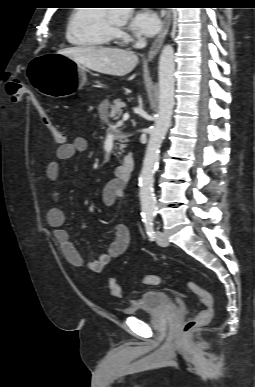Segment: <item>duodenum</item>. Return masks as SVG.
<instances>
[{
    "label": "duodenum",
    "mask_w": 255,
    "mask_h": 387,
    "mask_svg": "<svg viewBox=\"0 0 255 387\" xmlns=\"http://www.w3.org/2000/svg\"><path fill=\"white\" fill-rule=\"evenodd\" d=\"M135 169V159L132 153H128L123 162L119 164L116 169L115 173L116 176L123 182H128L134 172Z\"/></svg>",
    "instance_id": "1"
}]
</instances>
